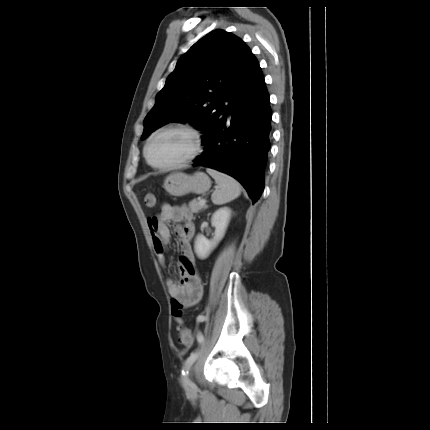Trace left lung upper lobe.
Segmentation results:
<instances>
[{
	"label": "left lung upper lobe",
	"mask_w": 430,
	"mask_h": 430,
	"mask_svg": "<svg viewBox=\"0 0 430 430\" xmlns=\"http://www.w3.org/2000/svg\"><path fill=\"white\" fill-rule=\"evenodd\" d=\"M258 68L239 37L223 30L208 33L178 60L144 119L141 139L171 121H190L206 134L231 101L249 90Z\"/></svg>",
	"instance_id": "1"
}]
</instances>
